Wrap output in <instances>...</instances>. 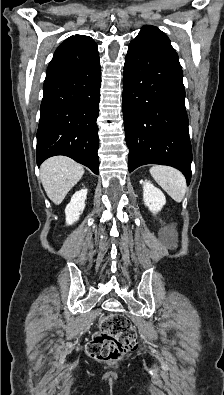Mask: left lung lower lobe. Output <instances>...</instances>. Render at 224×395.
<instances>
[{
	"label": "left lung lower lobe",
	"instance_id": "obj_1",
	"mask_svg": "<svg viewBox=\"0 0 224 395\" xmlns=\"http://www.w3.org/2000/svg\"><path fill=\"white\" fill-rule=\"evenodd\" d=\"M177 57L130 43L124 65L123 116L129 172L169 165L191 180L192 150Z\"/></svg>",
	"mask_w": 224,
	"mask_h": 395
}]
</instances>
